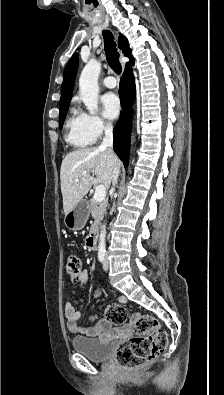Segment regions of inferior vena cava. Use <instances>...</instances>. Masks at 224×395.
I'll return each mask as SVG.
<instances>
[{"label": "inferior vena cava", "instance_id": "obj_1", "mask_svg": "<svg viewBox=\"0 0 224 395\" xmlns=\"http://www.w3.org/2000/svg\"><path fill=\"white\" fill-rule=\"evenodd\" d=\"M104 133L105 136L103 138L100 148L107 149L108 151L113 152V128L110 123H107L104 126ZM119 173H120L119 166H115V168L113 169V180H112L113 189L114 186L117 184Z\"/></svg>", "mask_w": 224, "mask_h": 395}]
</instances>
